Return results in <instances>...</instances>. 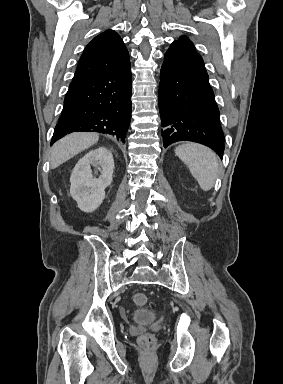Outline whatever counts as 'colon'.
<instances>
[{
    "instance_id": "5ec220e1",
    "label": "colon",
    "mask_w": 283,
    "mask_h": 384,
    "mask_svg": "<svg viewBox=\"0 0 283 384\" xmlns=\"http://www.w3.org/2000/svg\"><path fill=\"white\" fill-rule=\"evenodd\" d=\"M134 304L139 307H145L148 305V297L141 292H138L133 297ZM139 342L144 347H149L154 342V337L151 334H144L139 338Z\"/></svg>"
}]
</instances>
